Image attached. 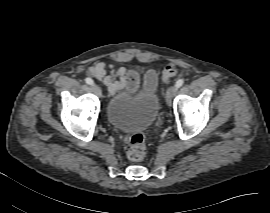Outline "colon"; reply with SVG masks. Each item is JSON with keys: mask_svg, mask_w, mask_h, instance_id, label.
Segmentation results:
<instances>
[{"mask_svg": "<svg viewBox=\"0 0 270 213\" xmlns=\"http://www.w3.org/2000/svg\"><path fill=\"white\" fill-rule=\"evenodd\" d=\"M176 74V67L174 65H167L162 71V80L168 83L170 79ZM127 157L130 161H140L146 155L145 133L138 132L131 135L126 150Z\"/></svg>", "mask_w": 270, "mask_h": 213, "instance_id": "obj_1", "label": "colon"}]
</instances>
